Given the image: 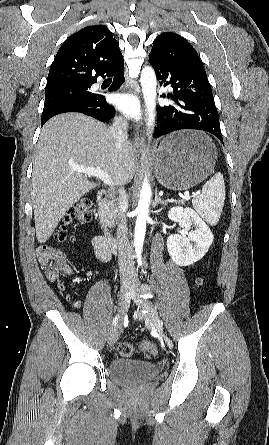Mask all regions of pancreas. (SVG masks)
<instances>
[{
	"instance_id": "obj_1",
	"label": "pancreas",
	"mask_w": 269,
	"mask_h": 445,
	"mask_svg": "<svg viewBox=\"0 0 269 445\" xmlns=\"http://www.w3.org/2000/svg\"><path fill=\"white\" fill-rule=\"evenodd\" d=\"M100 217L109 227L113 226L116 218L120 217L118 206L113 201L106 202L100 209Z\"/></svg>"
}]
</instances>
